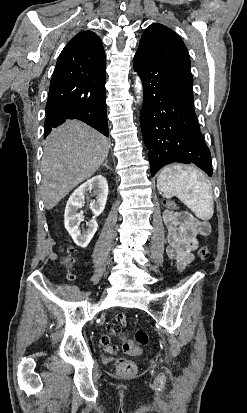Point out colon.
Segmentation results:
<instances>
[{
    "mask_svg": "<svg viewBox=\"0 0 247 413\" xmlns=\"http://www.w3.org/2000/svg\"><path fill=\"white\" fill-rule=\"evenodd\" d=\"M166 204L170 209H177V204L173 200L166 201ZM199 257L203 260H207L210 257L211 251L206 246H200L198 250ZM76 261L74 251L71 248L64 250L62 265L66 268L71 267ZM72 277V276H71ZM120 340H123V350L122 353L124 356H131L132 353L138 351L142 346L143 342L149 341V334L145 330H136L134 336L119 337ZM137 342H140V345H137ZM134 345V346H132ZM135 347V348H134ZM116 369L122 375H134L137 372V366L133 361H130L126 358H120L116 362Z\"/></svg>",
    "mask_w": 247,
    "mask_h": 413,
    "instance_id": "colon-1",
    "label": "colon"
}]
</instances>
